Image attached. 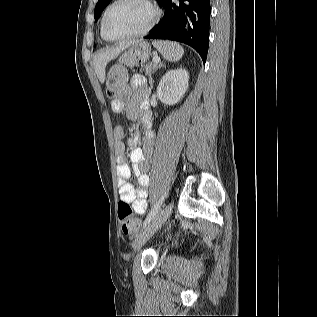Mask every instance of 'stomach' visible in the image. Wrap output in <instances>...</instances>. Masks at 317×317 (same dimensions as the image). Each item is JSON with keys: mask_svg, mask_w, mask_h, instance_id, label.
<instances>
[{"mask_svg": "<svg viewBox=\"0 0 317 317\" xmlns=\"http://www.w3.org/2000/svg\"><path fill=\"white\" fill-rule=\"evenodd\" d=\"M151 54V48L146 42H135L126 49L116 63L118 68H128L132 70V66H146Z\"/></svg>", "mask_w": 317, "mask_h": 317, "instance_id": "1", "label": "stomach"}]
</instances>
